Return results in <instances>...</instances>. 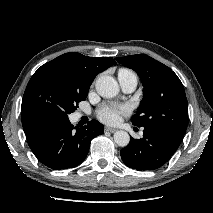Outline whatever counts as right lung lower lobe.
<instances>
[{"label":"right lung lower lobe","mask_w":213,"mask_h":213,"mask_svg":"<svg viewBox=\"0 0 213 213\" xmlns=\"http://www.w3.org/2000/svg\"><path fill=\"white\" fill-rule=\"evenodd\" d=\"M21 119L30 149L42 164L53 170L82 163L91 140L104 132L103 125L97 120L76 128L69 119L35 110H23Z\"/></svg>","instance_id":"obj_1"}]
</instances>
